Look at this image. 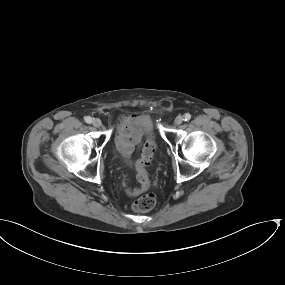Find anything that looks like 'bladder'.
<instances>
[{
  "label": "bladder",
  "instance_id": "1",
  "mask_svg": "<svg viewBox=\"0 0 285 285\" xmlns=\"http://www.w3.org/2000/svg\"><path fill=\"white\" fill-rule=\"evenodd\" d=\"M130 132L136 133V132H144V133H152L153 126L152 121L148 116H141L131 121ZM114 142L117 145V136L114 138ZM126 161L130 164L134 163V159L132 155L126 156Z\"/></svg>",
  "mask_w": 285,
  "mask_h": 285
}]
</instances>
